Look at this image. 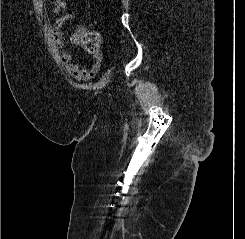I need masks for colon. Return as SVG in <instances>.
I'll return each instance as SVG.
<instances>
[{"label":"colon","mask_w":245,"mask_h":239,"mask_svg":"<svg viewBox=\"0 0 245 239\" xmlns=\"http://www.w3.org/2000/svg\"><path fill=\"white\" fill-rule=\"evenodd\" d=\"M50 2L55 3L58 0H50ZM74 40L81 44L87 51L94 52L99 44V37L96 33H88L85 35H76Z\"/></svg>","instance_id":"1"}]
</instances>
